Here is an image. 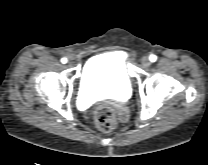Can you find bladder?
<instances>
[{
    "mask_svg": "<svg viewBox=\"0 0 208 165\" xmlns=\"http://www.w3.org/2000/svg\"><path fill=\"white\" fill-rule=\"evenodd\" d=\"M131 90V78L121 53H100L86 61L80 79L83 99L111 98L125 101L130 97Z\"/></svg>",
    "mask_w": 208,
    "mask_h": 165,
    "instance_id": "31cf9c89",
    "label": "bladder"
}]
</instances>
